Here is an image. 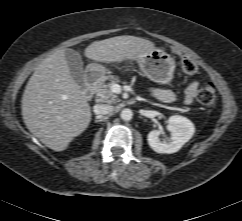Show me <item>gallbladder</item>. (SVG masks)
Returning a JSON list of instances; mask_svg holds the SVG:
<instances>
[{"instance_id": "bac80fb5", "label": "gallbladder", "mask_w": 242, "mask_h": 221, "mask_svg": "<svg viewBox=\"0 0 242 221\" xmlns=\"http://www.w3.org/2000/svg\"><path fill=\"white\" fill-rule=\"evenodd\" d=\"M65 57L72 78L78 84L79 88L83 90L86 85L84 80L83 61L80 54L75 50L65 49Z\"/></svg>"}]
</instances>
